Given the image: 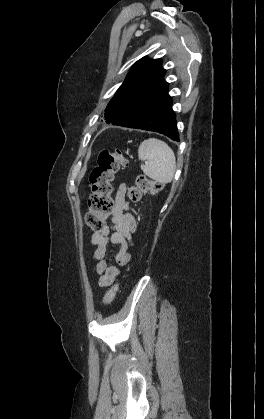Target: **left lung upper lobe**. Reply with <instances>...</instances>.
<instances>
[{
    "label": "left lung upper lobe",
    "instance_id": "left-lung-upper-lobe-1",
    "mask_svg": "<svg viewBox=\"0 0 264 419\" xmlns=\"http://www.w3.org/2000/svg\"><path fill=\"white\" fill-rule=\"evenodd\" d=\"M166 70L160 59L143 57L131 68L123 84L105 109V119L124 113L130 104L139 98L146 88L164 82Z\"/></svg>",
    "mask_w": 264,
    "mask_h": 419
}]
</instances>
